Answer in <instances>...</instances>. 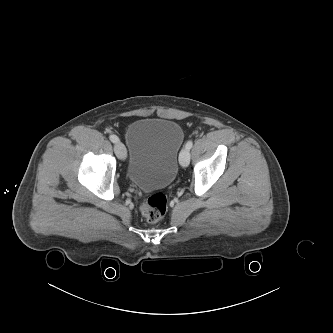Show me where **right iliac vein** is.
I'll use <instances>...</instances> for the list:
<instances>
[{"label": "right iliac vein", "mask_w": 333, "mask_h": 333, "mask_svg": "<svg viewBox=\"0 0 333 333\" xmlns=\"http://www.w3.org/2000/svg\"><path fill=\"white\" fill-rule=\"evenodd\" d=\"M114 151L119 159L121 160L126 159V148L122 142L118 141L115 143Z\"/></svg>", "instance_id": "63e3f726"}]
</instances>
